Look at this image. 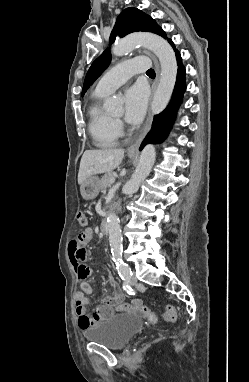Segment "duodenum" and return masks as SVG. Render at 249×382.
Instances as JSON below:
<instances>
[{
    "mask_svg": "<svg viewBox=\"0 0 249 382\" xmlns=\"http://www.w3.org/2000/svg\"><path fill=\"white\" fill-rule=\"evenodd\" d=\"M100 230L102 234H107L109 230V222L107 218H103L100 223Z\"/></svg>",
    "mask_w": 249,
    "mask_h": 382,
    "instance_id": "1",
    "label": "duodenum"
}]
</instances>
